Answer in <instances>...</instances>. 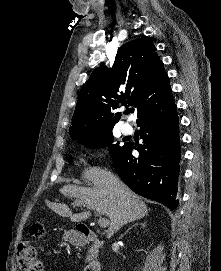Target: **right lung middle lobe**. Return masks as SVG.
Listing matches in <instances>:
<instances>
[{
	"label": "right lung middle lobe",
	"mask_w": 221,
	"mask_h": 271,
	"mask_svg": "<svg viewBox=\"0 0 221 271\" xmlns=\"http://www.w3.org/2000/svg\"><path fill=\"white\" fill-rule=\"evenodd\" d=\"M75 139H78L80 144L88 148H102L108 146L113 159L124 148V146H119V143L112 144L114 141L112 129L99 133L81 136Z\"/></svg>",
	"instance_id": "dd1d6c3e"
}]
</instances>
